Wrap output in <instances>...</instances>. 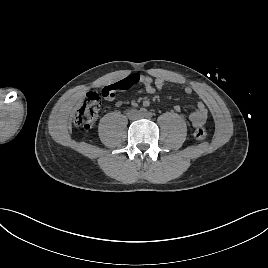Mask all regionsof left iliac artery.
Here are the masks:
<instances>
[{
    "label": "left iliac artery",
    "instance_id": "obj_1",
    "mask_svg": "<svg viewBox=\"0 0 268 268\" xmlns=\"http://www.w3.org/2000/svg\"><path fill=\"white\" fill-rule=\"evenodd\" d=\"M152 116H153V113H152V112H148V113H147V117H148V118H151Z\"/></svg>",
    "mask_w": 268,
    "mask_h": 268
}]
</instances>
